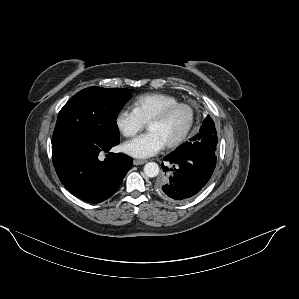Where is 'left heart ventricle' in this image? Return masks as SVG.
Returning <instances> with one entry per match:
<instances>
[{
  "instance_id": "left-heart-ventricle-1",
  "label": "left heart ventricle",
  "mask_w": 299,
  "mask_h": 299,
  "mask_svg": "<svg viewBox=\"0 0 299 299\" xmlns=\"http://www.w3.org/2000/svg\"><path fill=\"white\" fill-rule=\"evenodd\" d=\"M189 119V111L185 108H181L173 112L163 122L150 124L148 131L158 134L163 142L167 144L179 136L187 126Z\"/></svg>"
}]
</instances>
